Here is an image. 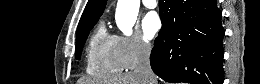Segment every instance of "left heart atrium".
Masks as SVG:
<instances>
[{
    "mask_svg": "<svg viewBox=\"0 0 260 84\" xmlns=\"http://www.w3.org/2000/svg\"><path fill=\"white\" fill-rule=\"evenodd\" d=\"M143 33L148 38H153L160 29V20L155 12L148 13L142 23Z\"/></svg>",
    "mask_w": 260,
    "mask_h": 84,
    "instance_id": "1",
    "label": "left heart atrium"
}]
</instances>
